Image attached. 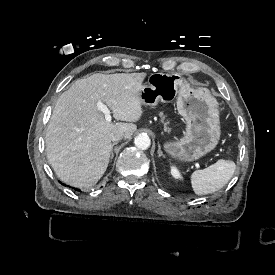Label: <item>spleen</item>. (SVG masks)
Listing matches in <instances>:
<instances>
[{
    "mask_svg": "<svg viewBox=\"0 0 275 275\" xmlns=\"http://www.w3.org/2000/svg\"><path fill=\"white\" fill-rule=\"evenodd\" d=\"M236 165L232 160L219 159L203 170H195L190 183L196 195H205L220 190L231 178Z\"/></svg>",
    "mask_w": 275,
    "mask_h": 275,
    "instance_id": "1",
    "label": "spleen"
}]
</instances>
